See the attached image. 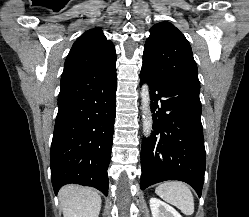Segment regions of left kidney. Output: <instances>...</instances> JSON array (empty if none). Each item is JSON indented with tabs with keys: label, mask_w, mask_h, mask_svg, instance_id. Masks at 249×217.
Wrapping results in <instances>:
<instances>
[{
	"label": "left kidney",
	"mask_w": 249,
	"mask_h": 217,
	"mask_svg": "<svg viewBox=\"0 0 249 217\" xmlns=\"http://www.w3.org/2000/svg\"><path fill=\"white\" fill-rule=\"evenodd\" d=\"M150 208L153 217H182L175 208L157 198L150 199Z\"/></svg>",
	"instance_id": "left-kidney-1"
}]
</instances>
